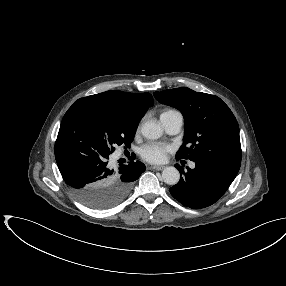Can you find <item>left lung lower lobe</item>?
Returning <instances> with one entry per match:
<instances>
[{
	"instance_id": "0a47b994",
	"label": "left lung lower lobe",
	"mask_w": 286,
	"mask_h": 286,
	"mask_svg": "<svg viewBox=\"0 0 286 286\" xmlns=\"http://www.w3.org/2000/svg\"><path fill=\"white\" fill-rule=\"evenodd\" d=\"M196 167L179 170L180 181L169 189L171 195L183 205L205 208L222 197L235 179L239 169L216 161H197Z\"/></svg>"
}]
</instances>
